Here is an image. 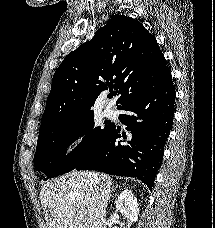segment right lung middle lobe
Segmentation results:
<instances>
[{
	"instance_id": "obj_1",
	"label": "right lung middle lobe",
	"mask_w": 215,
	"mask_h": 228,
	"mask_svg": "<svg viewBox=\"0 0 215 228\" xmlns=\"http://www.w3.org/2000/svg\"><path fill=\"white\" fill-rule=\"evenodd\" d=\"M113 125L95 127L94 114L83 119L57 123L40 128L34 165L49 178L73 170L89 156L110 134ZM81 143L66 155L68 146L79 137Z\"/></svg>"
}]
</instances>
